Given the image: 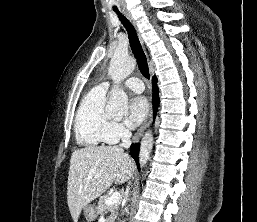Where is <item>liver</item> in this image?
Instances as JSON below:
<instances>
[{"label": "liver", "instance_id": "liver-1", "mask_svg": "<svg viewBox=\"0 0 257 222\" xmlns=\"http://www.w3.org/2000/svg\"><path fill=\"white\" fill-rule=\"evenodd\" d=\"M128 154L117 146H91L75 150L70 159L67 204L74 222L84 206L102 195L114 182L123 184L134 172Z\"/></svg>", "mask_w": 257, "mask_h": 222}]
</instances>
